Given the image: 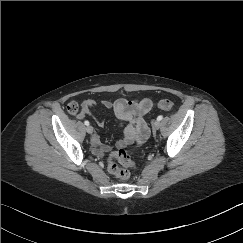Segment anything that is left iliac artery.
<instances>
[{"instance_id": "obj_1", "label": "left iliac artery", "mask_w": 243, "mask_h": 243, "mask_svg": "<svg viewBox=\"0 0 243 243\" xmlns=\"http://www.w3.org/2000/svg\"><path fill=\"white\" fill-rule=\"evenodd\" d=\"M163 119V116L162 115H159L158 117H157V120L158 121H161Z\"/></svg>"}]
</instances>
